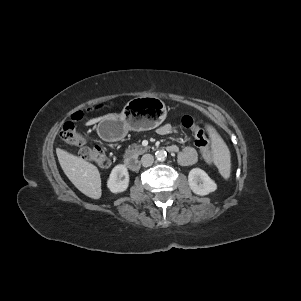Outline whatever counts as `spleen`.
I'll list each match as a JSON object with an SVG mask.
<instances>
[{
    "mask_svg": "<svg viewBox=\"0 0 301 301\" xmlns=\"http://www.w3.org/2000/svg\"><path fill=\"white\" fill-rule=\"evenodd\" d=\"M208 130L213 141L212 148L214 153V162L217 165L222 177L224 179H228L231 171L230 151L223 139L215 132L213 128L209 126Z\"/></svg>",
    "mask_w": 301,
    "mask_h": 301,
    "instance_id": "obj_1",
    "label": "spleen"
}]
</instances>
